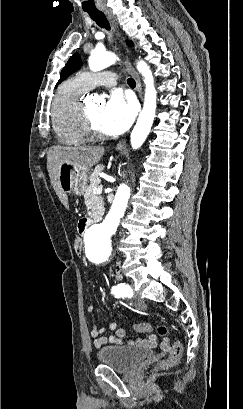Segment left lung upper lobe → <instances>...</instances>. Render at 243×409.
Instances as JSON below:
<instances>
[{
  "mask_svg": "<svg viewBox=\"0 0 243 409\" xmlns=\"http://www.w3.org/2000/svg\"><path fill=\"white\" fill-rule=\"evenodd\" d=\"M128 45L132 46V42L128 41ZM82 61L79 54H74L70 57L65 67L62 69L60 74V79L57 85L65 78H67L70 74L81 68Z\"/></svg>",
  "mask_w": 243,
  "mask_h": 409,
  "instance_id": "left-lung-upper-lobe-1",
  "label": "left lung upper lobe"
}]
</instances>
